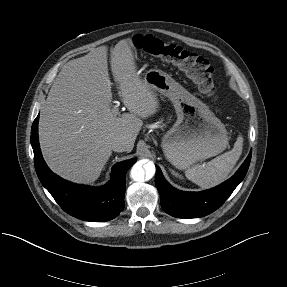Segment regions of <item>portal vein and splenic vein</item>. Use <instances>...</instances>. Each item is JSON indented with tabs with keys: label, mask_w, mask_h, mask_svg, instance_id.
I'll return each mask as SVG.
<instances>
[{
	"label": "portal vein and splenic vein",
	"mask_w": 287,
	"mask_h": 287,
	"mask_svg": "<svg viewBox=\"0 0 287 287\" xmlns=\"http://www.w3.org/2000/svg\"><path fill=\"white\" fill-rule=\"evenodd\" d=\"M112 112H113L114 114H118V108H117V106H115V107L112 109Z\"/></svg>",
	"instance_id": "1"
}]
</instances>
